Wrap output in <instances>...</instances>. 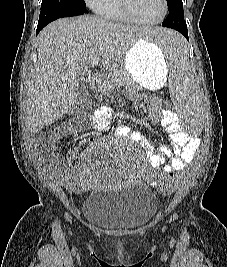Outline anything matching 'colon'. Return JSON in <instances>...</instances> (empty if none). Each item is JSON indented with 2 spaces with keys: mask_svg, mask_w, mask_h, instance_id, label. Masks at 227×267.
<instances>
[{
  "mask_svg": "<svg viewBox=\"0 0 227 267\" xmlns=\"http://www.w3.org/2000/svg\"><path fill=\"white\" fill-rule=\"evenodd\" d=\"M173 104L172 100H163L162 109H171ZM89 110V101L88 99H80L76 104V120L82 122ZM65 130V127H59L54 135L50 136V139L61 136ZM181 171H172L167 170V173H161V191L163 194L170 195L174 192L175 189V178H180Z\"/></svg>",
  "mask_w": 227,
  "mask_h": 267,
  "instance_id": "obj_1",
  "label": "colon"
}]
</instances>
